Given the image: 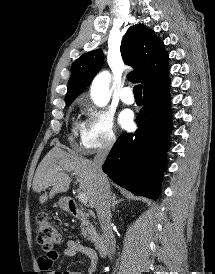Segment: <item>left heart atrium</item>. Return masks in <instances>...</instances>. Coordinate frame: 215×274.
Segmentation results:
<instances>
[{
	"label": "left heart atrium",
	"mask_w": 215,
	"mask_h": 274,
	"mask_svg": "<svg viewBox=\"0 0 215 274\" xmlns=\"http://www.w3.org/2000/svg\"><path fill=\"white\" fill-rule=\"evenodd\" d=\"M133 115L129 110H124L119 115V124L123 128H129L132 125Z\"/></svg>",
	"instance_id": "left-heart-atrium-1"
}]
</instances>
